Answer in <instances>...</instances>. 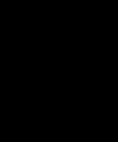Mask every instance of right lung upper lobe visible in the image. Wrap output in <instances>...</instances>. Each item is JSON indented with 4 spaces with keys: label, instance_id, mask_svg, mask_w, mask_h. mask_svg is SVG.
I'll return each mask as SVG.
<instances>
[{
    "label": "right lung upper lobe",
    "instance_id": "right-lung-upper-lobe-1",
    "mask_svg": "<svg viewBox=\"0 0 118 142\" xmlns=\"http://www.w3.org/2000/svg\"><path fill=\"white\" fill-rule=\"evenodd\" d=\"M41 54L21 47L0 58V131H16L24 119L37 108L31 95L33 79Z\"/></svg>",
    "mask_w": 118,
    "mask_h": 142
}]
</instances>
